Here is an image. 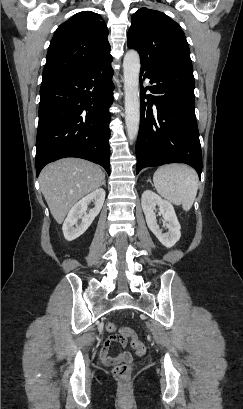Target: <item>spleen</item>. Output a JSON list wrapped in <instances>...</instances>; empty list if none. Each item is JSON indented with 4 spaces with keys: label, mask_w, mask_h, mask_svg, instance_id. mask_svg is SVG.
I'll return each instance as SVG.
<instances>
[{
    "label": "spleen",
    "mask_w": 243,
    "mask_h": 409,
    "mask_svg": "<svg viewBox=\"0 0 243 409\" xmlns=\"http://www.w3.org/2000/svg\"><path fill=\"white\" fill-rule=\"evenodd\" d=\"M156 191L175 205L190 210L198 191V176L187 165L170 164L156 170L153 176Z\"/></svg>",
    "instance_id": "3e777b00"
}]
</instances>
